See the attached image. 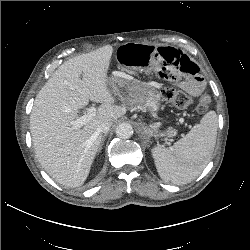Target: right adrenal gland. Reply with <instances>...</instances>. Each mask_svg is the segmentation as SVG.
Returning <instances> with one entry per match:
<instances>
[{
	"label": "right adrenal gland",
	"mask_w": 250,
	"mask_h": 250,
	"mask_svg": "<svg viewBox=\"0 0 250 250\" xmlns=\"http://www.w3.org/2000/svg\"><path fill=\"white\" fill-rule=\"evenodd\" d=\"M106 136H107L106 134L102 136V141H101V144L99 146L98 152L101 151Z\"/></svg>",
	"instance_id": "obj_1"
}]
</instances>
